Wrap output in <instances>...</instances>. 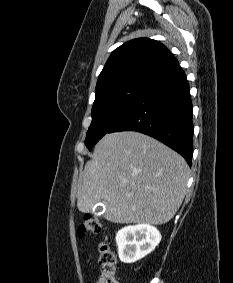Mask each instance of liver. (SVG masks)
<instances>
[{
  "instance_id": "1",
  "label": "liver",
  "mask_w": 233,
  "mask_h": 283,
  "mask_svg": "<svg viewBox=\"0 0 233 283\" xmlns=\"http://www.w3.org/2000/svg\"><path fill=\"white\" fill-rule=\"evenodd\" d=\"M189 167L158 140L134 131L106 134L85 165L77 207L83 213L103 202L114 223L161 225L180 208Z\"/></svg>"
}]
</instances>
